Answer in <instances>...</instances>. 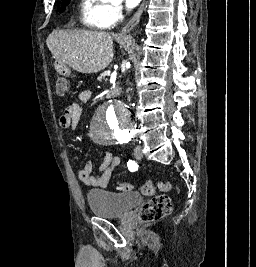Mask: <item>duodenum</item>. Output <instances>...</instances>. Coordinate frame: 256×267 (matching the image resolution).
I'll return each instance as SVG.
<instances>
[{
    "label": "duodenum",
    "mask_w": 256,
    "mask_h": 267,
    "mask_svg": "<svg viewBox=\"0 0 256 267\" xmlns=\"http://www.w3.org/2000/svg\"><path fill=\"white\" fill-rule=\"evenodd\" d=\"M55 70L58 71L59 73L65 74V73H70L71 69L68 68L67 66H56ZM115 90L114 89H104V94L106 99H113Z\"/></svg>",
    "instance_id": "1"
}]
</instances>
